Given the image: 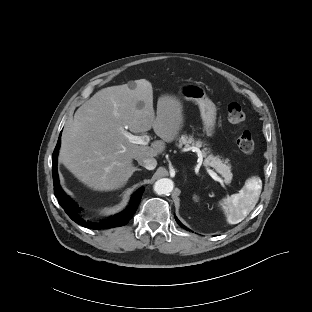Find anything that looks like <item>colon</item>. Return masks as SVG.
<instances>
[{"instance_id": "1", "label": "colon", "mask_w": 312, "mask_h": 312, "mask_svg": "<svg viewBox=\"0 0 312 312\" xmlns=\"http://www.w3.org/2000/svg\"><path fill=\"white\" fill-rule=\"evenodd\" d=\"M227 117L231 124L241 127L245 120V113L238 102H232L227 107ZM237 145L243 153H252L255 148L251 133L246 129H241L237 137Z\"/></svg>"}]
</instances>
